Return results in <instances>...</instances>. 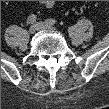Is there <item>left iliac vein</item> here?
Wrapping results in <instances>:
<instances>
[{
	"instance_id": "4c4485c4",
	"label": "left iliac vein",
	"mask_w": 109,
	"mask_h": 109,
	"mask_svg": "<svg viewBox=\"0 0 109 109\" xmlns=\"http://www.w3.org/2000/svg\"><path fill=\"white\" fill-rule=\"evenodd\" d=\"M36 26L38 27V29H42V30H47V31H55L56 27L47 23V22H38L36 24Z\"/></svg>"
}]
</instances>
